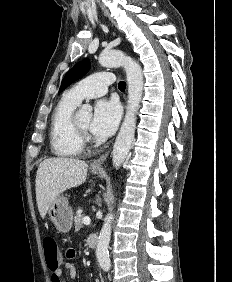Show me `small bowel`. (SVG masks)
Here are the masks:
<instances>
[{"mask_svg": "<svg viewBox=\"0 0 232 282\" xmlns=\"http://www.w3.org/2000/svg\"><path fill=\"white\" fill-rule=\"evenodd\" d=\"M65 256L68 261H66L62 265V267L52 272L51 282H66V279L64 278V273H67L71 278H75L77 276V269L72 261L76 256L75 250H66ZM95 282H99V280H96Z\"/></svg>", "mask_w": 232, "mask_h": 282, "instance_id": "obj_1", "label": "small bowel"}]
</instances>
